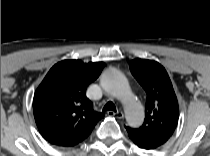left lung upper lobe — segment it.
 Here are the masks:
<instances>
[{"label": "left lung upper lobe", "mask_w": 210, "mask_h": 156, "mask_svg": "<svg viewBox=\"0 0 210 156\" xmlns=\"http://www.w3.org/2000/svg\"><path fill=\"white\" fill-rule=\"evenodd\" d=\"M133 76L147 93L144 124L127 128L130 138L141 148L152 149L164 144L178 121L177 99L165 69L154 61L133 60Z\"/></svg>", "instance_id": "1"}]
</instances>
